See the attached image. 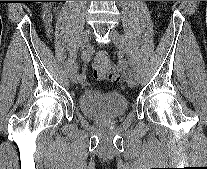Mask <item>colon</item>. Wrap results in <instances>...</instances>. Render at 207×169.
Listing matches in <instances>:
<instances>
[{
	"instance_id": "obj_1",
	"label": "colon",
	"mask_w": 207,
	"mask_h": 169,
	"mask_svg": "<svg viewBox=\"0 0 207 169\" xmlns=\"http://www.w3.org/2000/svg\"><path fill=\"white\" fill-rule=\"evenodd\" d=\"M94 76L98 80H107L109 82H118L120 72L117 66L110 60L104 52H99L93 60Z\"/></svg>"
}]
</instances>
